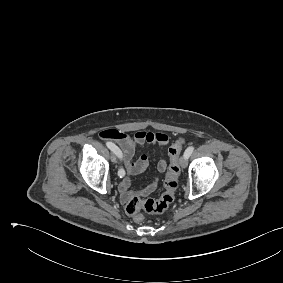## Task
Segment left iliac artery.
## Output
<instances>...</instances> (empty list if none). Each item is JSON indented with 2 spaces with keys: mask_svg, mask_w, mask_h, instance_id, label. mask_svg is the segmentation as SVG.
<instances>
[{
  "mask_svg": "<svg viewBox=\"0 0 283 283\" xmlns=\"http://www.w3.org/2000/svg\"><path fill=\"white\" fill-rule=\"evenodd\" d=\"M193 150H194V147H193V146L188 147V148L185 150V152H184V156L187 157V158H189L190 155L192 154Z\"/></svg>",
  "mask_w": 283,
  "mask_h": 283,
  "instance_id": "1",
  "label": "left iliac artery"
}]
</instances>
